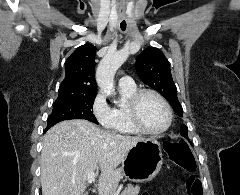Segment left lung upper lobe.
Returning a JSON list of instances; mask_svg holds the SVG:
<instances>
[{"instance_id": "1", "label": "left lung upper lobe", "mask_w": 240, "mask_h": 195, "mask_svg": "<svg viewBox=\"0 0 240 195\" xmlns=\"http://www.w3.org/2000/svg\"><path fill=\"white\" fill-rule=\"evenodd\" d=\"M136 71L141 80L162 94L178 116H183V108L177 98V88L173 82L169 63L158 48H147L137 57ZM181 135L187 138V126L181 125Z\"/></svg>"}]
</instances>
